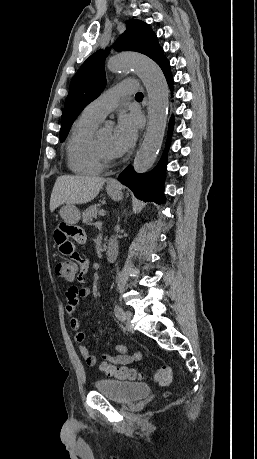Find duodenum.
Segmentation results:
<instances>
[{
    "mask_svg": "<svg viewBox=\"0 0 257 459\" xmlns=\"http://www.w3.org/2000/svg\"><path fill=\"white\" fill-rule=\"evenodd\" d=\"M106 259L108 262L113 263L118 256V244L115 240H110L108 242L107 248H106V253H105Z\"/></svg>",
    "mask_w": 257,
    "mask_h": 459,
    "instance_id": "duodenum-1",
    "label": "duodenum"
}]
</instances>
